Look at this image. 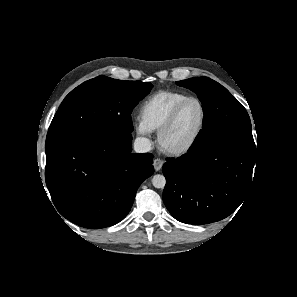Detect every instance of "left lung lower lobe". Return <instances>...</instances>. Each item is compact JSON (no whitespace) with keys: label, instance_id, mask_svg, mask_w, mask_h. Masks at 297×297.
I'll use <instances>...</instances> for the list:
<instances>
[{"label":"left lung lower lobe","instance_id":"1","mask_svg":"<svg viewBox=\"0 0 297 297\" xmlns=\"http://www.w3.org/2000/svg\"><path fill=\"white\" fill-rule=\"evenodd\" d=\"M256 148L214 143L189 149L163 165V201L180 222L194 225L222 220L245 199L252 181Z\"/></svg>","mask_w":297,"mask_h":297}]
</instances>
